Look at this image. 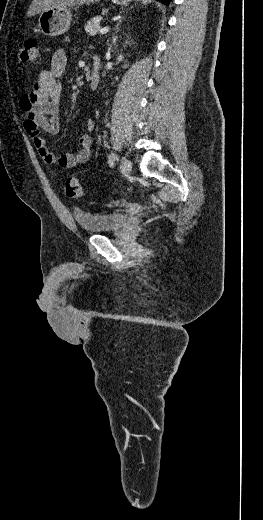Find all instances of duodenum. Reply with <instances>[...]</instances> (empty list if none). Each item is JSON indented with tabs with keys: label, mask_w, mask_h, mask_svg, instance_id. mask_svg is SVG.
Instances as JSON below:
<instances>
[{
	"label": "duodenum",
	"mask_w": 263,
	"mask_h": 520,
	"mask_svg": "<svg viewBox=\"0 0 263 520\" xmlns=\"http://www.w3.org/2000/svg\"><path fill=\"white\" fill-rule=\"evenodd\" d=\"M88 80L92 90H97L100 84V59L95 56L93 58V67L88 74Z\"/></svg>",
	"instance_id": "obj_1"
}]
</instances>
